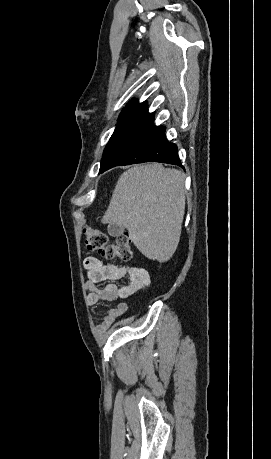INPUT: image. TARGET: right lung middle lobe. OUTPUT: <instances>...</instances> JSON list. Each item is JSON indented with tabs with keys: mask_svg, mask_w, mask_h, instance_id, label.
I'll return each mask as SVG.
<instances>
[{
	"mask_svg": "<svg viewBox=\"0 0 271 459\" xmlns=\"http://www.w3.org/2000/svg\"><path fill=\"white\" fill-rule=\"evenodd\" d=\"M153 114L146 111L125 112L119 117L116 129L111 136L101 161L100 173L108 162L140 131L153 122Z\"/></svg>",
	"mask_w": 271,
	"mask_h": 459,
	"instance_id": "right-lung-middle-lobe-1",
	"label": "right lung middle lobe"
}]
</instances>
